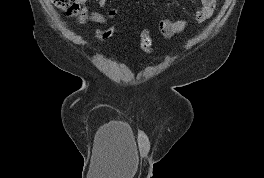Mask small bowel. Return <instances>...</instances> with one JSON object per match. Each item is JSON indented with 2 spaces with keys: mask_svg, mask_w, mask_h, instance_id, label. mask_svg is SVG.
Instances as JSON below:
<instances>
[{
  "mask_svg": "<svg viewBox=\"0 0 264 178\" xmlns=\"http://www.w3.org/2000/svg\"><path fill=\"white\" fill-rule=\"evenodd\" d=\"M102 10L106 13L98 11H89L87 7L88 0H80L82 9L77 17V23L84 25L87 22H93L98 25L106 23L107 17L113 18L117 14V9H107L108 0H98ZM201 6L195 13V21L197 23H203L208 20L214 13L216 7V0H200ZM187 27V21L185 20H172L168 18H162L158 20V29L162 36L165 38H171L176 34L181 33Z\"/></svg>",
  "mask_w": 264,
  "mask_h": 178,
  "instance_id": "c3829d8e",
  "label": "small bowel"
}]
</instances>
